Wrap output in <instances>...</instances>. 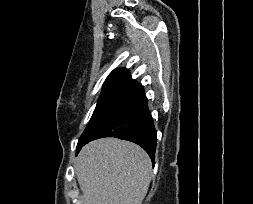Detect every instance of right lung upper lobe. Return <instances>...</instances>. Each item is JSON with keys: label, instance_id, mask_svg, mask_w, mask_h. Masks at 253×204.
I'll return each mask as SVG.
<instances>
[{"label": "right lung upper lobe", "instance_id": "obj_1", "mask_svg": "<svg viewBox=\"0 0 253 204\" xmlns=\"http://www.w3.org/2000/svg\"><path fill=\"white\" fill-rule=\"evenodd\" d=\"M124 82H135V81L131 78L128 69L121 68V69L113 70L110 73V75L107 77L104 83V86L116 84V83H124Z\"/></svg>", "mask_w": 253, "mask_h": 204}]
</instances>
